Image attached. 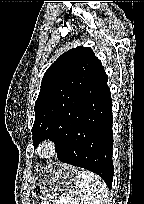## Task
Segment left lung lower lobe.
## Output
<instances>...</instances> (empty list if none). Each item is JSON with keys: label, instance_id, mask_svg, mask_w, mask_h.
Masks as SVG:
<instances>
[{"label": "left lung lower lobe", "instance_id": "left-lung-lower-lobe-1", "mask_svg": "<svg viewBox=\"0 0 144 204\" xmlns=\"http://www.w3.org/2000/svg\"><path fill=\"white\" fill-rule=\"evenodd\" d=\"M108 76L98 71L86 88V101L72 121L65 139L56 144L58 159L98 174L111 189L112 163V102L107 86Z\"/></svg>", "mask_w": 144, "mask_h": 204}]
</instances>
